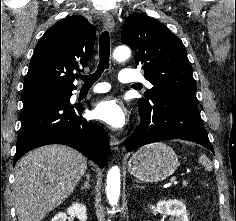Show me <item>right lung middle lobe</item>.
<instances>
[{
  "mask_svg": "<svg viewBox=\"0 0 236 221\" xmlns=\"http://www.w3.org/2000/svg\"><path fill=\"white\" fill-rule=\"evenodd\" d=\"M71 94L70 90H63V89H47V90H40L30 93L21 94L22 102H27L33 99H41V98H68Z\"/></svg>",
  "mask_w": 236,
  "mask_h": 221,
  "instance_id": "obj_1",
  "label": "right lung middle lobe"
}]
</instances>
